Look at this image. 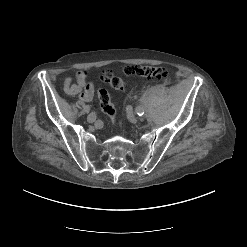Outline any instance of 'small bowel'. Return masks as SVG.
I'll return each mask as SVG.
<instances>
[{"label":"small bowel","instance_id":"1","mask_svg":"<svg viewBox=\"0 0 247 247\" xmlns=\"http://www.w3.org/2000/svg\"><path fill=\"white\" fill-rule=\"evenodd\" d=\"M87 72L84 70L78 71L75 77V83L70 77L64 80V90L69 95H79L82 101H90L94 96V86L87 81Z\"/></svg>","mask_w":247,"mask_h":247}]
</instances>
